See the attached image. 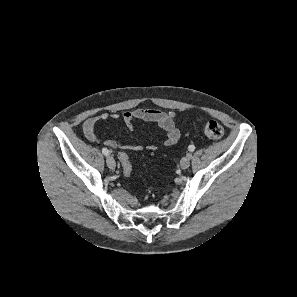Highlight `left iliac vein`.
<instances>
[{
	"instance_id": "left-iliac-vein-1",
	"label": "left iliac vein",
	"mask_w": 297,
	"mask_h": 297,
	"mask_svg": "<svg viewBox=\"0 0 297 297\" xmlns=\"http://www.w3.org/2000/svg\"><path fill=\"white\" fill-rule=\"evenodd\" d=\"M180 166L182 169H187L190 166V158L188 155L181 159Z\"/></svg>"
}]
</instances>
